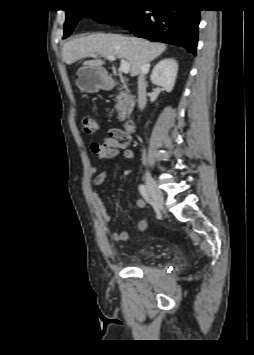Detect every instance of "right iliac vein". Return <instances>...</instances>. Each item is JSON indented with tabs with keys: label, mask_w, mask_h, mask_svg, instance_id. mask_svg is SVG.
Segmentation results:
<instances>
[{
	"label": "right iliac vein",
	"mask_w": 254,
	"mask_h": 355,
	"mask_svg": "<svg viewBox=\"0 0 254 355\" xmlns=\"http://www.w3.org/2000/svg\"><path fill=\"white\" fill-rule=\"evenodd\" d=\"M145 181L148 191L156 204V206L163 210L164 208V196L160 188L157 186L155 180L151 177V175L146 172L145 174Z\"/></svg>",
	"instance_id": "1"
}]
</instances>
